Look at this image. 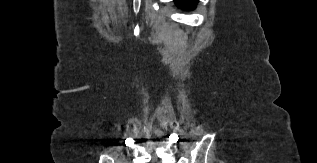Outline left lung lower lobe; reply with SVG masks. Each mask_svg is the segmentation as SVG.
Masks as SVG:
<instances>
[{"instance_id":"1","label":"left lung lower lobe","mask_w":317,"mask_h":163,"mask_svg":"<svg viewBox=\"0 0 317 163\" xmlns=\"http://www.w3.org/2000/svg\"><path fill=\"white\" fill-rule=\"evenodd\" d=\"M176 5L185 10H191L196 7L198 0H174Z\"/></svg>"}]
</instances>
